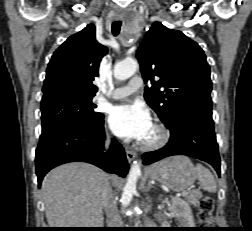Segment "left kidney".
<instances>
[{
  "label": "left kidney",
  "instance_id": "left-kidney-1",
  "mask_svg": "<svg viewBox=\"0 0 252 231\" xmlns=\"http://www.w3.org/2000/svg\"><path fill=\"white\" fill-rule=\"evenodd\" d=\"M172 213L178 218L180 228H193L195 226L192 215V210L187 202L178 198L172 197Z\"/></svg>",
  "mask_w": 252,
  "mask_h": 231
}]
</instances>
